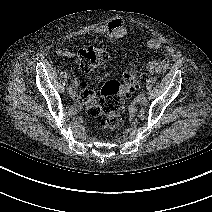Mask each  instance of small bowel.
I'll list each match as a JSON object with an SVG mask.
<instances>
[{
	"label": "small bowel",
	"mask_w": 212,
	"mask_h": 212,
	"mask_svg": "<svg viewBox=\"0 0 212 212\" xmlns=\"http://www.w3.org/2000/svg\"><path fill=\"white\" fill-rule=\"evenodd\" d=\"M90 34H103L109 42L114 43L127 34V29L122 20L113 19L108 23L91 30ZM146 46L152 50H163L167 56H173L175 53L174 48L170 44L158 38H149L146 41ZM56 52L61 57H73L76 55L73 51L64 47H58ZM168 67L169 60L167 59L152 60L146 64L147 71L152 74H163ZM88 90L87 83H81L80 99H83L86 96Z\"/></svg>",
	"instance_id": "c3829d8e"
}]
</instances>
